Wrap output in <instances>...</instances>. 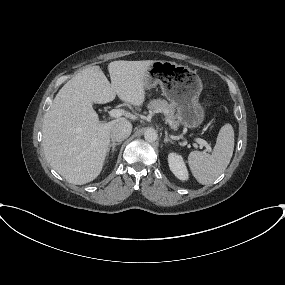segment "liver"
I'll return each mask as SVG.
<instances>
[{
    "mask_svg": "<svg viewBox=\"0 0 285 285\" xmlns=\"http://www.w3.org/2000/svg\"><path fill=\"white\" fill-rule=\"evenodd\" d=\"M152 60L113 61L108 65L111 83L99 66L88 67L70 79L57 93L44 115L42 145L47 161L68 182L83 185L101 173L118 118L99 121L93 103L105 104L116 95L123 102L141 106L144 79ZM127 118L136 120L131 113Z\"/></svg>",
    "mask_w": 285,
    "mask_h": 285,
    "instance_id": "obj_1",
    "label": "liver"
}]
</instances>
